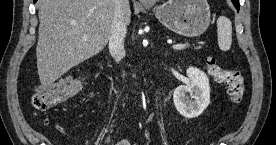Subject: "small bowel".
I'll use <instances>...</instances> for the list:
<instances>
[{
    "instance_id": "c3829d8e",
    "label": "small bowel",
    "mask_w": 276,
    "mask_h": 145,
    "mask_svg": "<svg viewBox=\"0 0 276 145\" xmlns=\"http://www.w3.org/2000/svg\"><path fill=\"white\" fill-rule=\"evenodd\" d=\"M117 145H137V144L132 143L129 140H121Z\"/></svg>"
}]
</instances>
